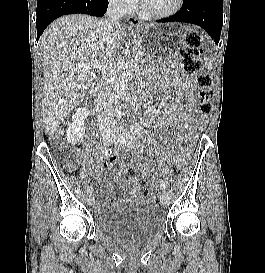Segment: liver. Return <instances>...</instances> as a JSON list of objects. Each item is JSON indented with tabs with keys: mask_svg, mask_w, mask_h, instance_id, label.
<instances>
[{
	"mask_svg": "<svg viewBox=\"0 0 265 273\" xmlns=\"http://www.w3.org/2000/svg\"><path fill=\"white\" fill-rule=\"evenodd\" d=\"M98 23L97 18L87 15H67L55 20L41 36L42 115L48 137L55 134L64 117L82 102L95 78L89 69L79 72L72 69L94 59L104 67L119 53L125 28L120 26L107 43Z\"/></svg>",
	"mask_w": 265,
	"mask_h": 273,
	"instance_id": "obj_1",
	"label": "liver"
}]
</instances>
